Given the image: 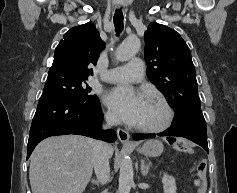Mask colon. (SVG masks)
<instances>
[{"mask_svg": "<svg viewBox=\"0 0 237 193\" xmlns=\"http://www.w3.org/2000/svg\"><path fill=\"white\" fill-rule=\"evenodd\" d=\"M168 143L177 151L182 153H191L192 144L182 138L173 137L168 139ZM197 177L200 182L199 193H204L206 189L207 161L200 159L196 166Z\"/></svg>", "mask_w": 237, "mask_h": 193, "instance_id": "obj_1", "label": "colon"}]
</instances>
